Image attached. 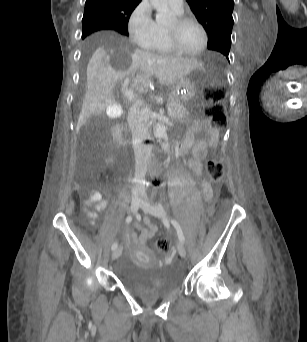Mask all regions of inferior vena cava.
I'll return each instance as SVG.
<instances>
[{"label":"inferior vena cava","mask_w":307,"mask_h":342,"mask_svg":"<svg viewBox=\"0 0 307 342\" xmlns=\"http://www.w3.org/2000/svg\"><path fill=\"white\" fill-rule=\"evenodd\" d=\"M127 122L132 134L135 156V176L132 192L133 194H145V176L151 156V148L143 144L148 132L147 128H145L140 104H133L132 108H130Z\"/></svg>","instance_id":"inferior-vena-cava-1"}]
</instances>
